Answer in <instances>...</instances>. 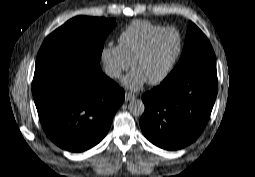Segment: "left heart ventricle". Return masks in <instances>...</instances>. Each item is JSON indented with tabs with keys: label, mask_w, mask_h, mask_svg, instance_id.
I'll return each instance as SVG.
<instances>
[{
	"label": "left heart ventricle",
	"mask_w": 255,
	"mask_h": 177,
	"mask_svg": "<svg viewBox=\"0 0 255 177\" xmlns=\"http://www.w3.org/2000/svg\"><path fill=\"white\" fill-rule=\"evenodd\" d=\"M178 49V37L172 32L160 35L148 53L136 61L133 69L140 72L147 81L157 78L167 67Z\"/></svg>",
	"instance_id": "left-heart-ventricle-1"
}]
</instances>
